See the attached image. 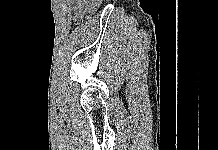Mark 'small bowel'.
I'll use <instances>...</instances> for the list:
<instances>
[{
	"instance_id": "1",
	"label": "small bowel",
	"mask_w": 218,
	"mask_h": 150,
	"mask_svg": "<svg viewBox=\"0 0 218 150\" xmlns=\"http://www.w3.org/2000/svg\"><path fill=\"white\" fill-rule=\"evenodd\" d=\"M74 1L81 9L88 10V11L94 10L102 2V0H74Z\"/></svg>"
}]
</instances>
